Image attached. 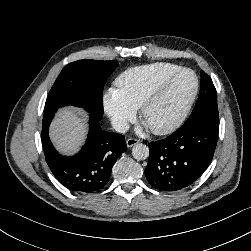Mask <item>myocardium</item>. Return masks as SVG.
<instances>
[{"mask_svg": "<svg viewBox=\"0 0 251 251\" xmlns=\"http://www.w3.org/2000/svg\"><path fill=\"white\" fill-rule=\"evenodd\" d=\"M183 73H189L194 77L193 90L179 115L170 124L159 128H149L151 132L156 135L170 134L177 130L184 123L190 113L199 91V79L197 74L189 68H180L179 70L171 73L153 87L139 107V116L143 121L146 111L162 96L168 86Z\"/></svg>", "mask_w": 251, "mask_h": 251, "instance_id": "obj_1", "label": "myocardium"}]
</instances>
